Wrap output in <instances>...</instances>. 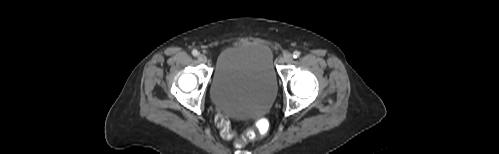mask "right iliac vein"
<instances>
[{
    "mask_svg": "<svg viewBox=\"0 0 499 154\" xmlns=\"http://www.w3.org/2000/svg\"><path fill=\"white\" fill-rule=\"evenodd\" d=\"M198 60H199V62H201V63H206V62H207V57H206L204 54H200V55L198 56Z\"/></svg>",
    "mask_w": 499,
    "mask_h": 154,
    "instance_id": "right-iliac-vein-1",
    "label": "right iliac vein"
}]
</instances>
